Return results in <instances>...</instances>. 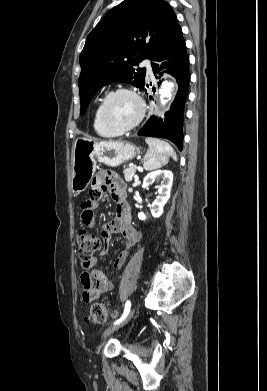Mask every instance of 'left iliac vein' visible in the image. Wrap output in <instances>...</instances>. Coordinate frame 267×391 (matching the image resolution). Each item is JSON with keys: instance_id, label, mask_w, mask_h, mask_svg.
<instances>
[{"instance_id": "obj_1", "label": "left iliac vein", "mask_w": 267, "mask_h": 391, "mask_svg": "<svg viewBox=\"0 0 267 391\" xmlns=\"http://www.w3.org/2000/svg\"><path fill=\"white\" fill-rule=\"evenodd\" d=\"M135 307H133L131 309V311L128 313V315L126 316V318L120 322L119 324H116L115 326L107 329L104 333H103V336L102 338L105 339L107 338L108 336H110L111 334H113L115 331H117L120 327L124 326L134 315L135 313Z\"/></svg>"}]
</instances>
